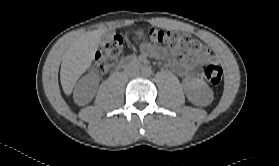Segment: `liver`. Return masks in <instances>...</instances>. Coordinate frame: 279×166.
Listing matches in <instances>:
<instances>
[{"label": "liver", "instance_id": "liver-1", "mask_svg": "<svg viewBox=\"0 0 279 166\" xmlns=\"http://www.w3.org/2000/svg\"><path fill=\"white\" fill-rule=\"evenodd\" d=\"M105 29L93 30L75 38L63 54L60 81L65 94H71L79 77L91 66Z\"/></svg>", "mask_w": 279, "mask_h": 166}]
</instances>
